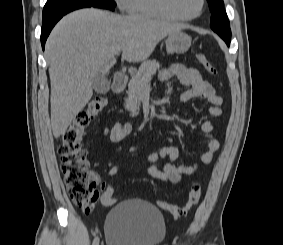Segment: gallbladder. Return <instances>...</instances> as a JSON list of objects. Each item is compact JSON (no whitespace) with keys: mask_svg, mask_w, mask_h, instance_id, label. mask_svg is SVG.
Instances as JSON below:
<instances>
[{"mask_svg":"<svg viewBox=\"0 0 283 245\" xmlns=\"http://www.w3.org/2000/svg\"><path fill=\"white\" fill-rule=\"evenodd\" d=\"M92 86L97 93H106L109 90L110 82L105 75L97 73L92 78Z\"/></svg>","mask_w":283,"mask_h":245,"instance_id":"obj_1","label":"gallbladder"}]
</instances>
